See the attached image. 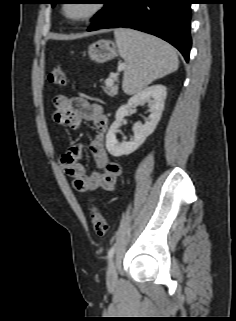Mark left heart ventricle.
I'll return each mask as SVG.
<instances>
[{
  "mask_svg": "<svg viewBox=\"0 0 236 321\" xmlns=\"http://www.w3.org/2000/svg\"><path fill=\"white\" fill-rule=\"evenodd\" d=\"M88 4L85 1H79L71 6L69 13L71 15H79L87 9Z\"/></svg>",
  "mask_w": 236,
  "mask_h": 321,
  "instance_id": "obj_1",
  "label": "left heart ventricle"
}]
</instances>
